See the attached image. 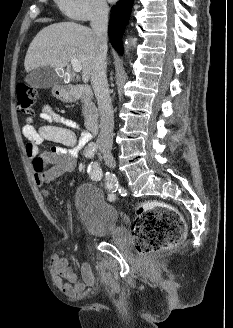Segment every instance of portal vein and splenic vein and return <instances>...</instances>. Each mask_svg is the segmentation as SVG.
I'll return each mask as SVG.
<instances>
[{"label":"portal vein and splenic vein","mask_w":233,"mask_h":328,"mask_svg":"<svg viewBox=\"0 0 233 328\" xmlns=\"http://www.w3.org/2000/svg\"><path fill=\"white\" fill-rule=\"evenodd\" d=\"M71 65H72V68H73V71L74 72H81L82 70V65L81 63L78 61V59H76L75 57H73L71 59Z\"/></svg>","instance_id":"1"}]
</instances>
